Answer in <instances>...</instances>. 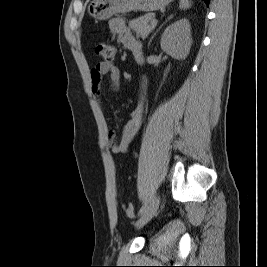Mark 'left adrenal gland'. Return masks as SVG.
I'll use <instances>...</instances> for the list:
<instances>
[{
    "label": "left adrenal gland",
    "instance_id": "1",
    "mask_svg": "<svg viewBox=\"0 0 267 267\" xmlns=\"http://www.w3.org/2000/svg\"><path fill=\"white\" fill-rule=\"evenodd\" d=\"M172 18V15L168 17V20ZM167 21V20H166ZM163 25V24H162ZM162 25L156 30V32L152 35L149 43H148V46H150V43L152 42L153 38L155 37L156 33L161 29Z\"/></svg>",
    "mask_w": 267,
    "mask_h": 267
}]
</instances>
